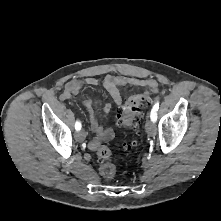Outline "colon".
Listing matches in <instances>:
<instances>
[{"label": "colon", "mask_w": 221, "mask_h": 221, "mask_svg": "<svg viewBox=\"0 0 221 221\" xmlns=\"http://www.w3.org/2000/svg\"><path fill=\"white\" fill-rule=\"evenodd\" d=\"M150 101V92L146 91L130 97L119 114L120 121L126 126H132L142 114L144 106ZM133 145V144H132ZM130 147V146H127ZM98 157L102 162L99 171L103 178L112 179L116 175L115 166L109 162L111 151L107 146H100Z\"/></svg>", "instance_id": "colon-1"}]
</instances>
